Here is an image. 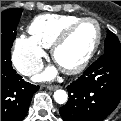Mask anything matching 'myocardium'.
I'll list each match as a JSON object with an SVG mask.
<instances>
[{
  "label": "myocardium",
  "mask_w": 121,
  "mask_h": 121,
  "mask_svg": "<svg viewBox=\"0 0 121 121\" xmlns=\"http://www.w3.org/2000/svg\"><path fill=\"white\" fill-rule=\"evenodd\" d=\"M84 22H92L95 24L96 29H97V38L96 41L93 45V47L91 48V50L88 52V54L84 57V59L78 63L77 65L70 67V68H61V70L68 75H74V74H78L81 71H83L88 64L91 62V60L93 59V57L95 56L96 52L98 51L100 44L102 42V36H103V32H102V27L101 24L94 18L91 17H81L80 19L76 20L75 22L71 23L70 25H68L56 38V40L53 42L52 46H51V55L52 58L55 62L56 61V55H57V51L58 49L68 40V38L70 37V35L73 33V31L82 23Z\"/></svg>",
  "instance_id": "f54148a6"
}]
</instances>
